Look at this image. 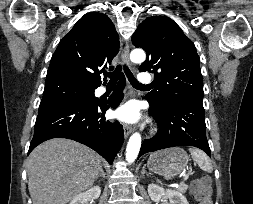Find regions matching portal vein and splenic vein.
I'll list each match as a JSON object with an SVG mask.
<instances>
[{
	"label": "portal vein and splenic vein",
	"mask_w": 253,
	"mask_h": 204,
	"mask_svg": "<svg viewBox=\"0 0 253 204\" xmlns=\"http://www.w3.org/2000/svg\"><path fill=\"white\" fill-rule=\"evenodd\" d=\"M188 178V174H184V180Z\"/></svg>",
	"instance_id": "portal-vein-and-splenic-vein-1"
}]
</instances>
